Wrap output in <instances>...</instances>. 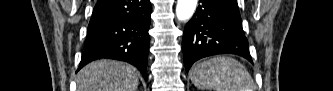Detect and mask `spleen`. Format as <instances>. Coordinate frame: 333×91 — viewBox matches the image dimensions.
<instances>
[{
	"instance_id": "spleen-1",
	"label": "spleen",
	"mask_w": 333,
	"mask_h": 91,
	"mask_svg": "<svg viewBox=\"0 0 333 91\" xmlns=\"http://www.w3.org/2000/svg\"><path fill=\"white\" fill-rule=\"evenodd\" d=\"M193 84L201 90L255 91L256 86L243 64L218 56L196 64L190 71Z\"/></svg>"
}]
</instances>
